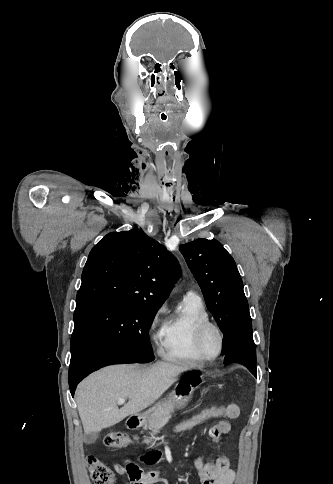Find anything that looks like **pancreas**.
<instances>
[{"instance_id": "obj_1", "label": "pancreas", "mask_w": 333, "mask_h": 484, "mask_svg": "<svg viewBox=\"0 0 333 484\" xmlns=\"http://www.w3.org/2000/svg\"><path fill=\"white\" fill-rule=\"evenodd\" d=\"M174 408V404L171 401L166 407L154 412L148 418V422L145 425L144 429L148 428L151 431V437H144V443L151 444V446L155 444V435L159 433L162 427L169 421L172 413L174 412Z\"/></svg>"}]
</instances>
